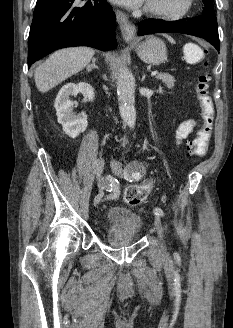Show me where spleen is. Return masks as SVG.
Returning <instances> with one entry per match:
<instances>
[{
    "label": "spleen",
    "mask_w": 233,
    "mask_h": 328,
    "mask_svg": "<svg viewBox=\"0 0 233 328\" xmlns=\"http://www.w3.org/2000/svg\"><path fill=\"white\" fill-rule=\"evenodd\" d=\"M186 48L191 49L197 56L201 55L199 48L191 43L187 44Z\"/></svg>",
    "instance_id": "obj_1"
}]
</instances>
